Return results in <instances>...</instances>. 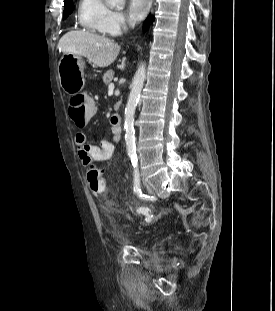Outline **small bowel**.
I'll return each mask as SVG.
<instances>
[{
    "label": "small bowel",
    "mask_w": 275,
    "mask_h": 311,
    "mask_svg": "<svg viewBox=\"0 0 275 311\" xmlns=\"http://www.w3.org/2000/svg\"><path fill=\"white\" fill-rule=\"evenodd\" d=\"M110 134V139L104 138L99 144L89 143L87 135L84 132L80 131L75 134L74 143L78 149L79 158L85 167L90 166L95 162H105L111 159L116 144L121 138V127L112 124Z\"/></svg>",
    "instance_id": "small-bowel-1"
}]
</instances>
